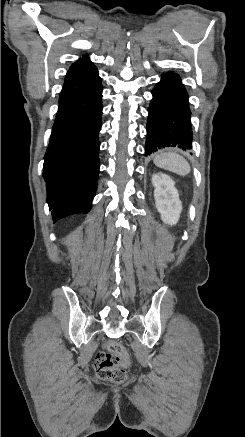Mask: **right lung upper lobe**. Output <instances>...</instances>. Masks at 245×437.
I'll return each mask as SVG.
<instances>
[{"mask_svg": "<svg viewBox=\"0 0 245 437\" xmlns=\"http://www.w3.org/2000/svg\"><path fill=\"white\" fill-rule=\"evenodd\" d=\"M99 81L97 68L88 56H83L68 70L61 94L89 87Z\"/></svg>", "mask_w": 245, "mask_h": 437, "instance_id": "right-lung-upper-lobe-1", "label": "right lung upper lobe"}]
</instances>
